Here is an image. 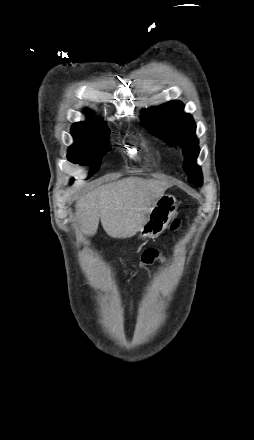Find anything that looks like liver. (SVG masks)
<instances>
[{
	"mask_svg": "<svg viewBox=\"0 0 254 440\" xmlns=\"http://www.w3.org/2000/svg\"><path fill=\"white\" fill-rule=\"evenodd\" d=\"M168 187L165 181L128 177L91 190L75 205L82 231L94 235L100 219L110 237L134 236Z\"/></svg>",
	"mask_w": 254,
	"mask_h": 440,
	"instance_id": "liver-1",
	"label": "liver"
}]
</instances>
